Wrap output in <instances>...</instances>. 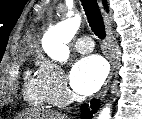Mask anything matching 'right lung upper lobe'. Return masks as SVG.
<instances>
[{"mask_svg": "<svg viewBox=\"0 0 142 119\" xmlns=\"http://www.w3.org/2000/svg\"><path fill=\"white\" fill-rule=\"evenodd\" d=\"M104 5H105V8H107V6H106V2L104 1Z\"/></svg>", "mask_w": 142, "mask_h": 119, "instance_id": "obj_1", "label": "right lung upper lobe"}]
</instances>
